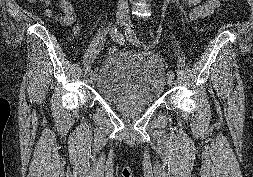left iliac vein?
<instances>
[{
	"label": "left iliac vein",
	"mask_w": 253,
	"mask_h": 177,
	"mask_svg": "<svg viewBox=\"0 0 253 177\" xmlns=\"http://www.w3.org/2000/svg\"><path fill=\"white\" fill-rule=\"evenodd\" d=\"M125 26L126 28L130 29L133 31L132 29V24H131V21L129 18H126V21H125ZM134 32V31H133ZM167 84L169 86H173L174 85V77L173 76H170V75H167Z\"/></svg>",
	"instance_id": "1"
}]
</instances>
